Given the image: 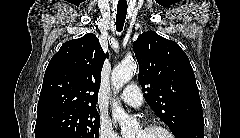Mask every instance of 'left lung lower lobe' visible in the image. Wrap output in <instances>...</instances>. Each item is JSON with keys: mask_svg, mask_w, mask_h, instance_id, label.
I'll return each instance as SVG.
<instances>
[{"mask_svg": "<svg viewBox=\"0 0 240 138\" xmlns=\"http://www.w3.org/2000/svg\"><path fill=\"white\" fill-rule=\"evenodd\" d=\"M204 123L192 124L184 128L176 136L177 138H203Z\"/></svg>", "mask_w": 240, "mask_h": 138, "instance_id": "obj_1", "label": "left lung lower lobe"}]
</instances>
